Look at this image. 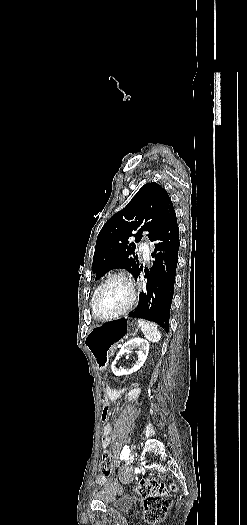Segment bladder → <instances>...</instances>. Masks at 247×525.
<instances>
[{"label": "bladder", "mask_w": 247, "mask_h": 525, "mask_svg": "<svg viewBox=\"0 0 247 525\" xmlns=\"http://www.w3.org/2000/svg\"><path fill=\"white\" fill-rule=\"evenodd\" d=\"M107 508H117L125 511L136 505V498L127 494H120L117 497H111L106 502Z\"/></svg>", "instance_id": "obj_1"}]
</instances>
